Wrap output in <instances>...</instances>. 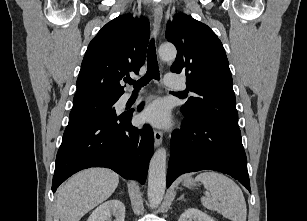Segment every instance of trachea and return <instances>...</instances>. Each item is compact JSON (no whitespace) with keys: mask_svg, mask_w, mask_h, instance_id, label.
Instances as JSON below:
<instances>
[{"mask_svg":"<svg viewBox=\"0 0 307 221\" xmlns=\"http://www.w3.org/2000/svg\"><path fill=\"white\" fill-rule=\"evenodd\" d=\"M159 67L156 56V48L154 39L151 40L148 52H147V72L140 78L138 81L131 79L125 80L126 83L133 85L135 90L140 89L141 87L147 85L152 79L159 80ZM177 94H184L183 92H176Z\"/></svg>","mask_w":307,"mask_h":221,"instance_id":"trachea-1","label":"trachea"}]
</instances>
